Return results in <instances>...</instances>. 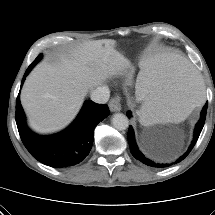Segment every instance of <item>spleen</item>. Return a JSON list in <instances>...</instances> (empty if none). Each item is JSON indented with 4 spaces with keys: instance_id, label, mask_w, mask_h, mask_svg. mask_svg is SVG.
Segmentation results:
<instances>
[{
    "instance_id": "1",
    "label": "spleen",
    "mask_w": 215,
    "mask_h": 215,
    "mask_svg": "<svg viewBox=\"0 0 215 215\" xmlns=\"http://www.w3.org/2000/svg\"><path fill=\"white\" fill-rule=\"evenodd\" d=\"M137 91L143 98L141 123L184 119L204 101V86L188 60L161 54L140 64Z\"/></svg>"
}]
</instances>
